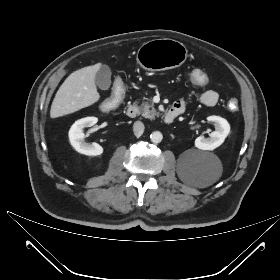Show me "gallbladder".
Masks as SVG:
<instances>
[{
    "mask_svg": "<svg viewBox=\"0 0 280 280\" xmlns=\"http://www.w3.org/2000/svg\"><path fill=\"white\" fill-rule=\"evenodd\" d=\"M95 83L101 90H108L111 85V70L107 65H101L95 75Z\"/></svg>",
    "mask_w": 280,
    "mask_h": 280,
    "instance_id": "1",
    "label": "gallbladder"
}]
</instances>
